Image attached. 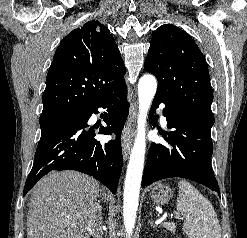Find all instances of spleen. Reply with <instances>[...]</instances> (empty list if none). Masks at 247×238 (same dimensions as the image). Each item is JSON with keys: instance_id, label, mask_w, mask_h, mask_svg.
<instances>
[{"instance_id": "spleen-1", "label": "spleen", "mask_w": 247, "mask_h": 238, "mask_svg": "<svg viewBox=\"0 0 247 238\" xmlns=\"http://www.w3.org/2000/svg\"><path fill=\"white\" fill-rule=\"evenodd\" d=\"M177 210L185 218L183 231L189 238H221V227L212 204L192 184L178 183Z\"/></svg>"}]
</instances>
